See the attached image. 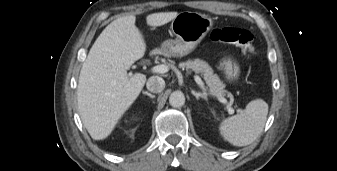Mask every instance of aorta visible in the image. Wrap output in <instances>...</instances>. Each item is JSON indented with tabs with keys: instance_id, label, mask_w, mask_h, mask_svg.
<instances>
[{
	"instance_id": "obj_1",
	"label": "aorta",
	"mask_w": 337,
	"mask_h": 171,
	"mask_svg": "<svg viewBox=\"0 0 337 171\" xmlns=\"http://www.w3.org/2000/svg\"><path fill=\"white\" fill-rule=\"evenodd\" d=\"M169 103L172 107L179 108L185 103V96L181 91H174L169 97Z\"/></svg>"
}]
</instances>
